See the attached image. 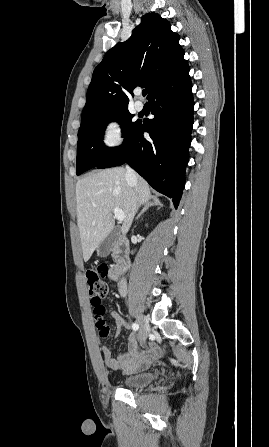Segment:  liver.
I'll use <instances>...</instances> for the list:
<instances>
[{
    "instance_id": "6515ba94",
    "label": "liver",
    "mask_w": 269,
    "mask_h": 447,
    "mask_svg": "<svg viewBox=\"0 0 269 447\" xmlns=\"http://www.w3.org/2000/svg\"><path fill=\"white\" fill-rule=\"evenodd\" d=\"M139 192L135 182H127L125 168H111L102 172H90L76 184L77 224L82 243L84 261H88L94 249L106 239L114 227L113 210L124 212L122 233L129 231L137 204H149L150 188L138 176Z\"/></svg>"
}]
</instances>
